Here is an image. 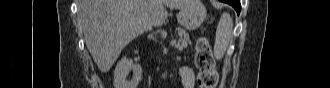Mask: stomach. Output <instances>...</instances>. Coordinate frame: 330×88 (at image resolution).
Wrapping results in <instances>:
<instances>
[{
    "label": "stomach",
    "mask_w": 330,
    "mask_h": 88,
    "mask_svg": "<svg viewBox=\"0 0 330 88\" xmlns=\"http://www.w3.org/2000/svg\"><path fill=\"white\" fill-rule=\"evenodd\" d=\"M206 8L200 0H190V3L182 8L177 19L186 30H196L206 19Z\"/></svg>",
    "instance_id": "obj_1"
}]
</instances>
